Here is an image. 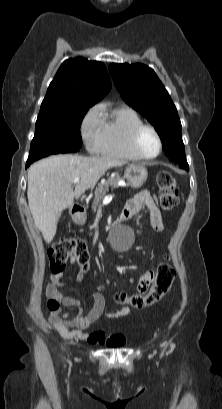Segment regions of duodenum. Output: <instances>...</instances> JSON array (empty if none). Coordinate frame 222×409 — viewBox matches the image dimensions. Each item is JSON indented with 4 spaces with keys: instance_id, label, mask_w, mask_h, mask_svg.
<instances>
[{
    "instance_id": "obj_1",
    "label": "duodenum",
    "mask_w": 222,
    "mask_h": 409,
    "mask_svg": "<svg viewBox=\"0 0 222 409\" xmlns=\"http://www.w3.org/2000/svg\"><path fill=\"white\" fill-rule=\"evenodd\" d=\"M83 211H84V209H83L82 206H80V205H74V206L72 207L71 213H72V216L74 217V219H78V218L80 217V215L83 213ZM126 218H127V217H126L125 215H122V214H121V216H120V219H121V220H124V219H126Z\"/></svg>"
}]
</instances>
